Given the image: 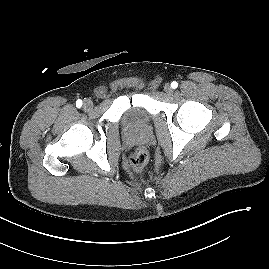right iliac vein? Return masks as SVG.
<instances>
[{
	"label": "right iliac vein",
	"instance_id": "63e3f726",
	"mask_svg": "<svg viewBox=\"0 0 269 269\" xmlns=\"http://www.w3.org/2000/svg\"><path fill=\"white\" fill-rule=\"evenodd\" d=\"M83 108L85 110H91L93 108V102L90 99H85L83 102Z\"/></svg>",
	"mask_w": 269,
	"mask_h": 269
}]
</instances>
